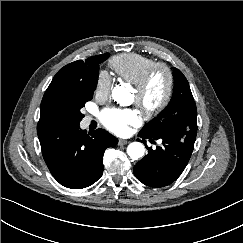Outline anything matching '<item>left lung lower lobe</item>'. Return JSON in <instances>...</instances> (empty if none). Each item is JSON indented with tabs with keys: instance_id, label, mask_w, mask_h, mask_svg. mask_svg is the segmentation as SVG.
<instances>
[{
	"instance_id": "1",
	"label": "left lung lower lobe",
	"mask_w": 243,
	"mask_h": 243,
	"mask_svg": "<svg viewBox=\"0 0 243 243\" xmlns=\"http://www.w3.org/2000/svg\"><path fill=\"white\" fill-rule=\"evenodd\" d=\"M139 136L150 141L160 139L161 145L154 150L147 148L148 154L134 166L136 178L141 183L155 188L173 183L188 164L194 144L171 133L152 138L140 131Z\"/></svg>"
}]
</instances>
